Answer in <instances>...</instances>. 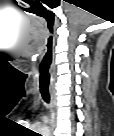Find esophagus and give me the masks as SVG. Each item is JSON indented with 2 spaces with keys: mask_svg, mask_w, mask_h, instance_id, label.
I'll return each mask as SVG.
<instances>
[{
  "mask_svg": "<svg viewBox=\"0 0 114 136\" xmlns=\"http://www.w3.org/2000/svg\"><path fill=\"white\" fill-rule=\"evenodd\" d=\"M51 105H50V125H51V134L54 133V130L57 126V101L56 94L53 88L49 89Z\"/></svg>",
  "mask_w": 114,
  "mask_h": 136,
  "instance_id": "34e87169",
  "label": "esophagus"
}]
</instances>
